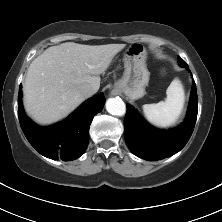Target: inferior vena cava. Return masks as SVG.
Wrapping results in <instances>:
<instances>
[{
	"mask_svg": "<svg viewBox=\"0 0 222 222\" xmlns=\"http://www.w3.org/2000/svg\"><path fill=\"white\" fill-rule=\"evenodd\" d=\"M80 93L87 98L96 93V89L92 85L84 84L80 87Z\"/></svg>",
	"mask_w": 222,
	"mask_h": 222,
	"instance_id": "1",
	"label": "inferior vena cava"
}]
</instances>
